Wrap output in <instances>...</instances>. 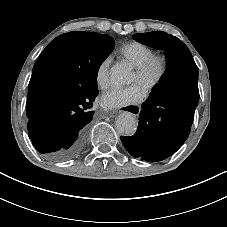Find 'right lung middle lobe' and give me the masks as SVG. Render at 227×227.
<instances>
[{"label": "right lung middle lobe", "mask_w": 227, "mask_h": 227, "mask_svg": "<svg viewBox=\"0 0 227 227\" xmlns=\"http://www.w3.org/2000/svg\"><path fill=\"white\" fill-rule=\"evenodd\" d=\"M50 44L52 53L80 74V83L74 95L97 92V73L114 48L113 38L96 32L87 35L63 34Z\"/></svg>", "instance_id": "1"}]
</instances>
